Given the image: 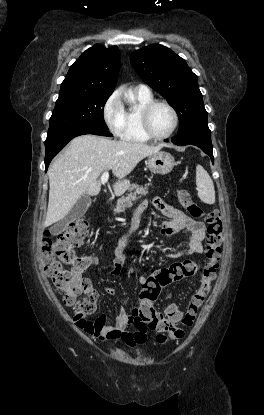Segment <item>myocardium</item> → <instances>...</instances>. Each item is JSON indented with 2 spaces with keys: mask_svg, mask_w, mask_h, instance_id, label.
I'll use <instances>...</instances> for the list:
<instances>
[{
  "mask_svg": "<svg viewBox=\"0 0 264 415\" xmlns=\"http://www.w3.org/2000/svg\"><path fill=\"white\" fill-rule=\"evenodd\" d=\"M159 105H163L167 107L172 115H173V126L172 128L164 135H157L153 132L151 125H150V114L152 110ZM140 123H141V129L143 133L152 140H165L169 137H171L175 131L178 128L179 125V115L177 110L167 101L164 100H152L151 102L145 104L140 109Z\"/></svg>",
  "mask_w": 264,
  "mask_h": 415,
  "instance_id": "1",
  "label": "myocardium"
}]
</instances>
